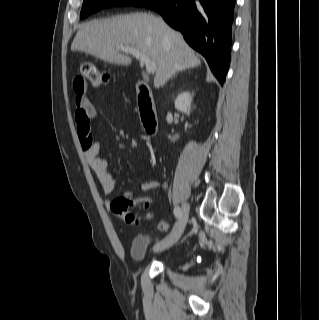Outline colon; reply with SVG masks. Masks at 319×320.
<instances>
[{"label":"colon","instance_id":"obj_1","mask_svg":"<svg viewBox=\"0 0 319 320\" xmlns=\"http://www.w3.org/2000/svg\"><path fill=\"white\" fill-rule=\"evenodd\" d=\"M109 80L110 74L108 71L100 70L99 67L92 61H84L80 64L79 75L75 79V85L80 88L89 83L94 87H99L107 84ZM78 129L84 138V142L86 144H90L93 140V134L91 131L90 120L85 115L82 116ZM141 203V198L132 199L120 197L111 202V210L115 215L121 217L126 224L134 225L139 222V219L131 209L134 206L140 205ZM147 218H152L151 211L148 212ZM157 228L160 231H167L169 225L166 222L159 221L157 223Z\"/></svg>","mask_w":319,"mask_h":320}]
</instances>
